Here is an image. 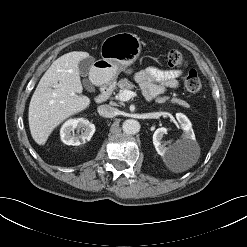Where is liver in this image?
Returning a JSON list of instances; mask_svg holds the SVG:
<instances>
[{"instance_id":"6515ba94","label":"liver","mask_w":247,"mask_h":247,"mask_svg":"<svg viewBox=\"0 0 247 247\" xmlns=\"http://www.w3.org/2000/svg\"><path fill=\"white\" fill-rule=\"evenodd\" d=\"M88 56L83 51L64 54L40 79L28 112L31 136L38 145H44L51 132L65 119L90 105V99L81 94L83 86L78 67Z\"/></svg>"}]
</instances>
